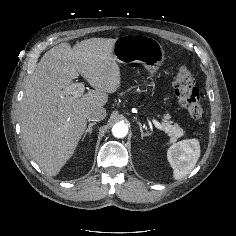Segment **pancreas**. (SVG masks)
I'll list each match as a JSON object with an SVG mask.
<instances>
[{
	"label": "pancreas",
	"mask_w": 236,
	"mask_h": 236,
	"mask_svg": "<svg viewBox=\"0 0 236 236\" xmlns=\"http://www.w3.org/2000/svg\"><path fill=\"white\" fill-rule=\"evenodd\" d=\"M168 115L165 116L163 120V130L171 137L172 141H176L178 138L184 135V131L182 128H179L177 125H171L169 121H167Z\"/></svg>",
	"instance_id": "cf45deb5"
}]
</instances>
